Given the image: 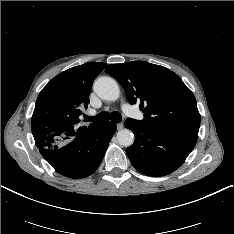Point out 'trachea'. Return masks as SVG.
<instances>
[{"label": "trachea", "instance_id": "1", "mask_svg": "<svg viewBox=\"0 0 234 234\" xmlns=\"http://www.w3.org/2000/svg\"><path fill=\"white\" fill-rule=\"evenodd\" d=\"M85 118L87 121L91 122H105L111 120L115 123H119L122 120V116L118 112H112L110 114L108 112H101L94 117L86 116Z\"/></svg>", "mask_w": 234, "mask_h": 234}]
</instances>
